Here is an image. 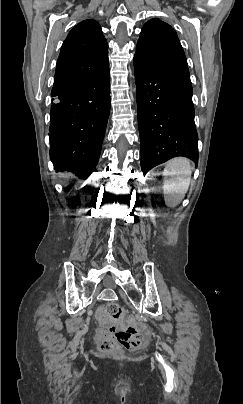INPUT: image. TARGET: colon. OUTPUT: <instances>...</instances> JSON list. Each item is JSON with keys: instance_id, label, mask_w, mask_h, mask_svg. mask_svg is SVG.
I'll list each match as a JSON object with an SVG mask.
<instances>
[{"instance_id": "5ec220e1", "label": "colon", "mask_w": 243, "mask_h": 404, "mask_svg": "<svg viewBox=\"0 0 243 404\" xmlns=\"http://www.w3.org/2000/svg\"><path fill=\"white\" fill-rule=\"evenodd\" d=\"M106 313L113 321H119L125 315L124 309L116 303L109 304ZM144 345L145 340L142 333L134 326L99 331V348L103 352L112 353L122 348L137 350Z\"/></svg>"}]
</instances>
